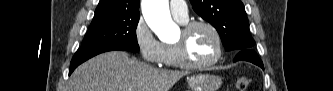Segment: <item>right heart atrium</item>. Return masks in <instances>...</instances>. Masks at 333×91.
<instances>
[{"instance_id": "right-heart-atrium-1", "label": "right heart atrium", "mask_w": 333, "mask_h": 91, "mask_svg": "<svg viewBox=\"0 0 333 91\" xmlns=\"http://www.w3.org/2000/svg\"><path fill=\"white\" fill-rule=\"evenodd\" d=\"M135 44L142 58L150 64H162L164 47L163 44L155 37L143 17H140L133 29Z\"/></svg>"}]
</instances>
